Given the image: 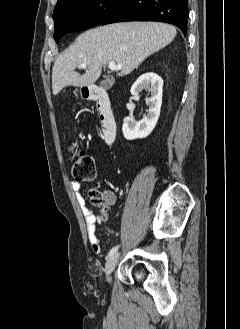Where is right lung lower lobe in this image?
I'll list each match as a JSON object with an SVG mask.
<instances>
[{
    "label": "right lung lower lobe",
    "mask_w": 240,
    "mask_h": 329,
    "mask_svg": "<svg viewBox=\"0 0 240 329\" xmlns=\"http://www.w3.org/2000/svg\"><path fill=\"white\" fill-rule=\"evenodd\" d=\"M188 0H126L100 24L124 21H159L187 32Z\"/></svg>",
    "instance_id": "98d812e1"
}]
</instances>
